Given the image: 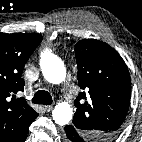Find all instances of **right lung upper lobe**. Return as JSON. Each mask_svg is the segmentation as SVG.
I'll use <instances>...</instances> for the list:
<instances>
[{"label":"right lung upper lobe","instance_id":"1","mask_svg":"<svg viewBox=\"0 0 142 142\" xmlns=\"http://www.w3.org/2000/svg\"><path fill=\"white\" fill-rule=\"evenodd\" d=\"M41 41V34L0 33V142H24L38 116L16 94L24 89V65Z\"/></svg>","mask_w":142,"mask_h":142}]
</instances>
